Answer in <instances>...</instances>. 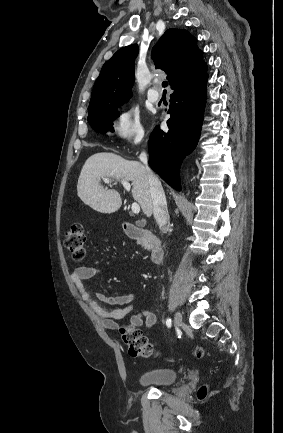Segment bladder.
<instances>
[{
  "instance_id": "31cf9c89",
  "label": "bladder",
  "mask_w": 283,
  "mask_h": 433,
  "mask_svg": "<svg viewBox=\"0 0 283 433\" xmlns=\"http://www.w3.org/2000/svg\"><path fill=\"white\" fill-rule=\"evenodd\" d=\"M178 372L172 368H160L155 371L145 373L140 379L142 385H171L176 381Z\"/></svg>"
}]
</instances>
